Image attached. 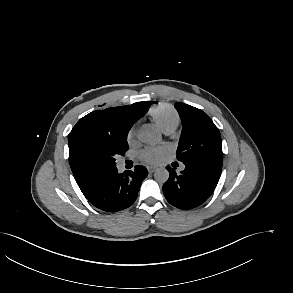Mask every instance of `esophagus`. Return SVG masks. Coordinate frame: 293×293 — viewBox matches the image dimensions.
Listing matches in <instances>:
<instances>
[{
    "label": "esophagus",
    "instance_id": "esophagus-1",
    "mask_svg": "<svg viewBox=\"0 0 293 293\" xmlns=\"http://www.w3.org/2000/svg\"><path fill=\"white\" fill-rule=\"evenodd\" d=\"M147 169H148L149 173H153L157 170V167L156 166H147Z\"/></svg>",
    "mask_w": 293,
    "mask_h": 293
}]
</instances>
